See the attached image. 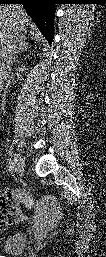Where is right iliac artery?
I'll use <instances>...</instances> for the list:
<instances>
[{"label": "right iliac artery", "mask_w": 106, "mask_h": 257, "mask_svg": "<svg viewBox=\"0 0 106 257\" xmlns=\"http://www.w3.org/2000/svg\"><path fill=\"white\" fill-rule=\"evenodd\" d=\"M7 168H8V170H9L10 173L13 172L14 163H13V161H12L11 158H8V159H7Z\"/></svg>", "instance_id": "right-iliac-artery-1"}]
</instances>
